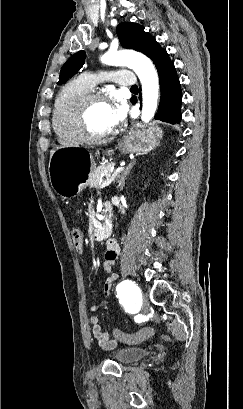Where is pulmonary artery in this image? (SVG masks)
Instances as JSON below:
<instances>
[{
	"label": "pulmonary artery",
	"mask_w": 243,
	"mask_h": 409,
	"mask_svg": "<svg viewBox=\"0 0 243 409\" xmlns=\"http://www.w3.org/2000/svg\"><path fill=\"white\" fill-rule=\"evenodd\" d=\"M90 88L94 87L101 80H111L117 85L132 87L136 85L134 74L128 70H117L111 72H102L100 74L84 73L80 77Z\"/></svg>",
	"instance_id": "pulmonary-artery-1"
}]
</instances>
